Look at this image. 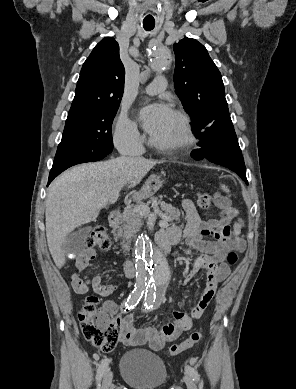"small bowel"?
<instances>
[{
  "instance_id": "1",
  "label": "small bowel",
  "mask_w": 296,
  "mask_h": 389,
  "mask_svg": "<svg viewBox=\"0 0 296 389\" xmlns=\"http://www.w3.org/2000/svg\"><path fill=\"white\" fill-rule=\"evenodd\" d=\"M221 210L217 219L203 221L193 202L189 199L181 201V207L186 216V226L183 231L177 226H171L160 232L159 236H168L176 242L181 238L185 241L184 253L190 258L189 265L185 271V280L189 281L195 270L206 269V284L204 290L192 308L191 314L184 311H174L173 319L162 328L152 326L135 327L133 316L125 314L120 319V340L128 346L149 345L152 350L159 351L166 344L177 339L184 331L192 327L193 318L202 315L210 301L215 295L217 285L227 279L230 275V268L226 264L227 253L231 249L241 250V241L234 240V230L231 222L235 218V212L226 199L219 198L216 202ZM205 237H212L213 240H206ZM96 253L92 248L82 250L76 257V271L71 275V285L78 294H84L92 289L101 297L113 294L117 285L103 284L100 276L93 278L81 277L79 272L83 271L88 263L94 259ZM103 306L110 314L117 313L119 305L113 300H107Z\"/></svg>"
}]
</instances>
